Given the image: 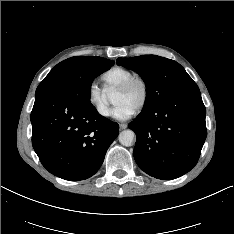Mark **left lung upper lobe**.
Segmentation results:
<instances>
[{
	"mask_svg": "<svg viewBox=\"0 0 234 234\" xmlns=\"http://www.w3.org/2000/svg\"><path fill=\"white\" fill-rule=\"evenodd\" d=\"M117 64L137 72L146 85V99L141 112L151 110L167 97L195 84L177 62L156 55L118 58Z\"/></svg>",
	"mask_w": 234,
	"mask_h": 234,
	"instance_id": "5c2ea615",
	"label": "left lung upper lobe"
}]
</instances>
